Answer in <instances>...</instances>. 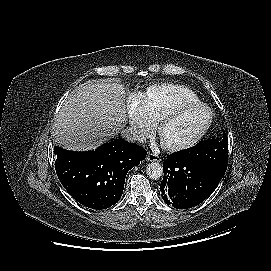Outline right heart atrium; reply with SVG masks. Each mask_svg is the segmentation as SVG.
Masks as SVG:
<instances>
[{
    "mask_svg": "<svg viewBox=\"0 0 271 271\" xmlns=\"http://www.w3.org/2000/svg\"><path fill=\"white\" fill-rule=\"evenodd\" d=\"M126 121L129 130L136 139H143L153 129V122L149 118L145 108L143 94L135 92L131 95Z\"/></svg>",
    "mask_w": 271,
    "mask_h": 271,
    "instance_id": "right-heart-atrium-1",
    "label": "right heart atrium"
}]
</instances>
